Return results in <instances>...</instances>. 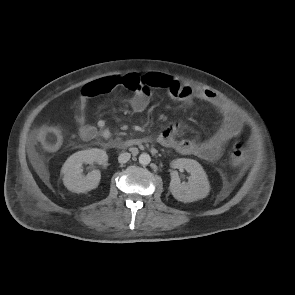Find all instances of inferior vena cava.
Here are the masks:
<instances>
[{"mask_svg": "<svg viewBox=\"0 0 295 295\" xmlns=\"http://www.w3.org/2000/svg\"><path fill=\"white\" fill-rule=\"evenodd\" d=\"M131 154L128 152L121 153L118 157L119 163H126L129 161Z\"/></svg>", "mask_w": 295, "mask_h": 295, "instance_id": "602c4592", "label": "inferior vena cava"}]
</instances>
